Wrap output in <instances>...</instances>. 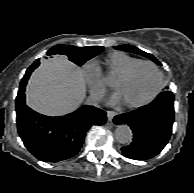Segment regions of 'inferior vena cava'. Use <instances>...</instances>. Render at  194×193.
Wrapping results in <instances>:
<instances>
[{
  "mask_svg": "<svg viewBox=\"0 0 194 193\" xmlns=\"http://www.w3.org/2000/svg\"><path fill=\"white\" fill-rule=\"evenodd\" d=\"M102 99V95L101 94H94L92 95L90 98H89V102L92 103V104H95L97 102H99L100 100ZM97 106V105H96Z\"/></svg>",
  "mask_w": 194,
  "mask_h": 193,
  "instance_id": "inferior-vena-cava-1",
  "label": "inferior vena cava"
}]
</instances>
